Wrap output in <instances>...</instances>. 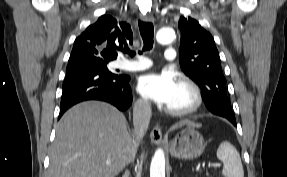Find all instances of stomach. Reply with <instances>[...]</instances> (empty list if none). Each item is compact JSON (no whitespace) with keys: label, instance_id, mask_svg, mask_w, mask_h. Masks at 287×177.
I'll return each instance as SVG.
<instances>
[{"label":"stomach","instance_id":"stomach-1","mask_svg":"<svg viewBox=\"0 0 287 177\" xmlns=\"http://www.w3.org/2000/svg\"><path fill=\"white\" fill-rule=\"evenodd\" d=\"M205 146L203 136L193 126H187L171 141L170 153L179 159L193 160L201 156Z\"/></svg>","mask_w":287,"mask_h":177}]
</instances>
